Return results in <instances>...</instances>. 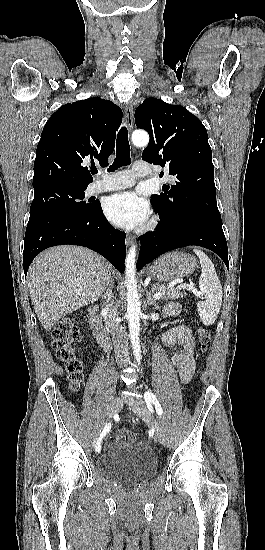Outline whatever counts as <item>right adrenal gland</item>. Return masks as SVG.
I'll use <instances>...</instances> for the list:
<instances>
[{
  "mask_svg": "<svg viewBox=\"0 0 265 550\" xmlns=\"http://www.w3.org/2000/svg\"><path fill=\"white\" fill-rule=\"evenodd\" d=\"M112 289H113V283L111 282L107 288V291L106 293H104L101 298L102 299H105L106 302H109L112 298H113V292H112Z\"/></svg>",
  "mask_w": 265,
  "mask_h": 550,
  "instance_id": "right-adrenal-gland-1",
  "label": "right adrenal gland"
}]
</instances>
